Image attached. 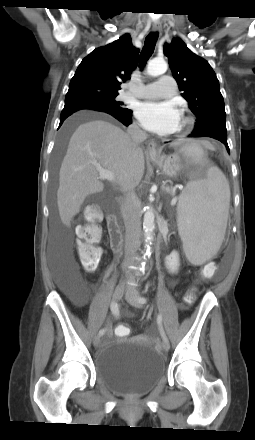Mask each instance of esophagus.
Listing matches in <instances>:
<instances>
[{
    "mask_svg": "<svg viewBox=\"0 0 255 440\" xmlns=\"http://www.w3.org/2000/svg\"><path fill=\"white\" fill-rule=\"evenodd\" d=\"M152 31L153 32H160L161 31V24L154 23L152 26ZM147 152L152 157H156L159 155L157 144L154 141H150L147 144Z\"/></svg>",
    "mask_w": 255,
    "mask_h": 440,
    "instance_id": "obj_1",
    "label": "esophagus"
}]
</instances>
